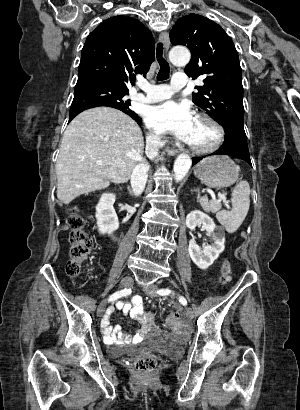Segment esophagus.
Instances as JSON below:
<instances>
[{"mask_svg":"<svg viewBox=\"0 0 300 410\" xmlns=\"http://www.w3.org/2000/svg\"><path fill=\"white\" fill-rule=\"evenodd\" d=\"M159 40H160V42L163 44L165 53H166V55H167V51H168L169 46H170V40H169V35H168V33H167V32H161L160 35H159ZM168 154H169L170 156H174V155L178 154V150H176V149H170V150L168 151Z\"/></svg>","mask_w":300,"mask_h":410,"instance_id":"esophagus-1","label":"esophagus"}]
</instances>
